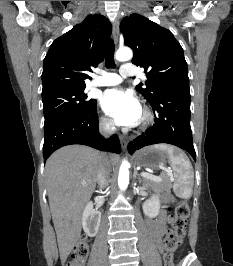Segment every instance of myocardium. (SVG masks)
Instances as JSON below:
<instances>
[{
	"mask_svg": "<svg viewBox=\"0 0 233 266\" xmlns=\"http://www.w3.org/2000/svg\"><path fill=\"white\" fill-rule=\"evenodd\" d=\"M153 119L154 116L150 108H148L147 106L143 107L142 118L139 124L140 129H146L147 127H149L152 124Z\"/></svg>",
	"mask_w": 233,
	"mask_h": 266,
	"instance_id": "myocardium-1",
	"label": "myocardium"
}]
</instances>
